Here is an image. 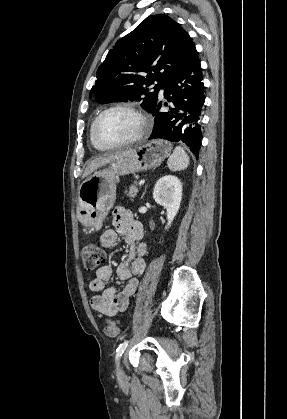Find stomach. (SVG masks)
<instances>
[{
    "label": "stomach",
    "instance_id": "1",
    "mask_svg": "<svg viewBox=\"0 0 287 419\" xmlns=\"http://www.w3.org/2000/svg\"><path fill=\"white\" fill-rule=\"evenodd\" d=\"M170 152L168 141L151 140L109 163L107 168L95 171L78 188V217L91 227L101 224L114 205L118 177L149 170L160 164Z\"/></svg>",
    "mask_w": 287,
    "mask_h": 419
}]
</instances>
